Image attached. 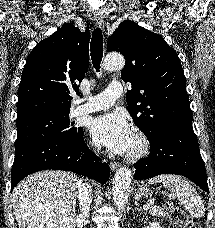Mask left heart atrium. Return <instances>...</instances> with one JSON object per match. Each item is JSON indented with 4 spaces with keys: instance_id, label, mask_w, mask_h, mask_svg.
I'll use <instances>...</instances> for the list:
<instances>
[{
    "instance_id": "obj_1",
    "label": "left heart atrium",
    "mask_w": 215,
    "mask_h": 228,
    "mask_svg": "<svg viewBox=\"0 0 215 228\" xmlns=\"http://www.w3.org/2000/svg\"><path fill=\"white\" fill-rule=\"evenodd\" d=\"M93 139L116 154L127 153L134 135L127 117L121 112L108 113L94 118L90 125Z\"/></svg>"
}]
</instances>
